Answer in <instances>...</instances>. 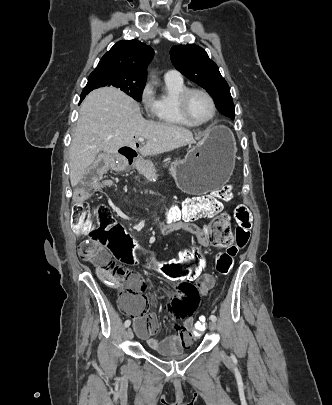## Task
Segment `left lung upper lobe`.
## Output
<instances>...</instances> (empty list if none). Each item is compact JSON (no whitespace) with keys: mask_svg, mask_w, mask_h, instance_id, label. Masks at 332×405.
<instances>
[{"mask_svg":"<svg viewBox=\"0 0 332 405\" xmlns=\"http://www.w3.org/2000/svg\"><path fill=\"white\" fill-rule=\"evenodd\" d=\"M170 57L178 71L213 97L220 113L234 119L235 106L230 88L216 63L208 57L203 48L196 45H176L171 48Z\"/></svg>","mask_w":332,"mask_h":405,"instance_id":"obj_1","label":"left lung upper lobe"}]
</instances>
